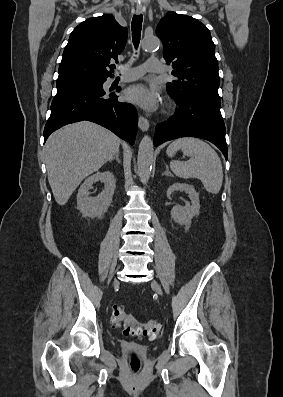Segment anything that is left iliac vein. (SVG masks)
<instances>
[{
	"instance_id": "obj_1",
	"label": "left iliac vein",
	"mask_w": 283,
	"mask_h": 397,
	"mask_svg": "<svg viewBox=\"0 0 283 397\" xmlns=\"http://www.w3.org/2000/svg\"><path fill=\"white\" fill-rule=\"evenodd\" d=\"M151 285H152L153 289L156 291L157 294H159L160 296L163 295V291H162L160 285L155 280H153L151 282Z\"/></svg>"
}]
</instances>
